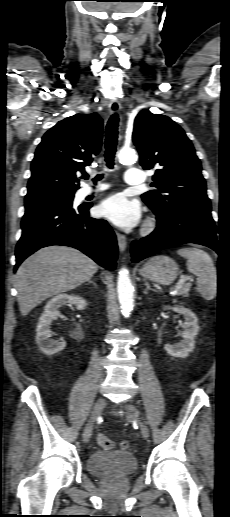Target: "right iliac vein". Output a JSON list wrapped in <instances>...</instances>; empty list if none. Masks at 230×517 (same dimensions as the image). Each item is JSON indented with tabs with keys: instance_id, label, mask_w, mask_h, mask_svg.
Masks as SVG:
<instances>
[{
	"instance_id": "right-iliac-vein-1",
	"label": "right iliac vein",
	"mask_w": 230,
	"mask_h": 517,
	"mask_svg": "<svg viewBox=\"0 0 230 517\" xmlns=\"http://www.w3.org/2000/svg\"><path fill=\"white\" fill-rule=\"evenodd\" d=\"M106 406V400L105 398H99L97 400V402L95 403L94 407H93V410L91 412V415H90V418L86 424V427L84 429V434H83V440L85 443H88L91 436H92V431H93V426H94V423L96 422L97 418L100 416V414L102 413L103 409L105 408Z\"/></svg>"
}]
</instances>
